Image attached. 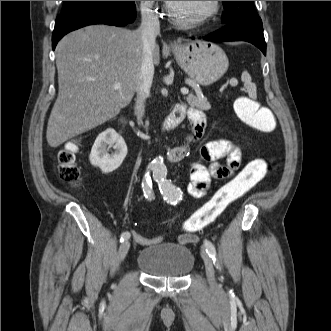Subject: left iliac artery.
<instances>
[{
	"instance_id": "left-iliac-artery-1",
	"label": "left iliac artery",
	"mask_w": 331,
	"mask_h": 331,
	"mask_svg": "<svg viewBox=\"0 0 331 331\" xmlns=\"http://www.w3.org/2000/svg\"><path fill=\"white\" fill-rule=\"evenodd\" d=\"M154 179L159 184V189L164 199L171 204H177L182 199V192L179 188L175 187L171 181L166 178V173L162 170H157L154 173ZM206 252L216 262V250L214 245L208 241H204Z\"/></svg>"
}]
</instances>
